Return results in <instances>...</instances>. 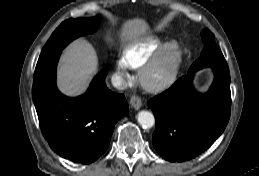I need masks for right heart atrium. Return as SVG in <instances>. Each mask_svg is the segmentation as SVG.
Masks as SVG:
<instances>
[{
  "instance_id": "right-heart-atrium-1",
  "label": "right heart atrium",
  "mask_w": 259,
  "mask_h": 176,
  "mask_svg": "<svg viewBox=\"0 0 259 176\" xmlns=\"http://www.w3.org/2000/svg\"><path fill=\"white\" fill-rule=\"evenodd\" d=\"M116 75L120 78H126L128 76L126 65L122 59H118L115 64Z\"/></svg>"
}]
</instances>
